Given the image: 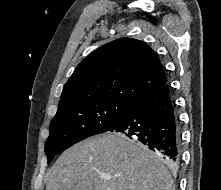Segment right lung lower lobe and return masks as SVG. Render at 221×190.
Listing matches in <instances>:
<instances>
[{
	"label": "right lung lower lobe",
	"instance_id": "1",
	"mask_svg": "<svg viewBox=\"0 0 221 190\" xmlns=\"http://www.w3.org/2000/svg\"><path fill=\"white\" fill-rule=\"evenodd\" d=\"M115 131L141 142L169 165H176L181 156V133L169 84L131 104L110 130Z\"/></svg>",
	"mask_w": 221,
	"mask_h": 190
}]
</instances>
